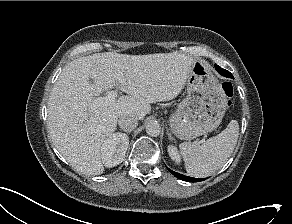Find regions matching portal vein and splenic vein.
<instances>
[{
	"instance_id": "portal-vein-and-splenic-vein-1",
	"label": "portal vein and splenic vein",
	"mask_w": 292,
	"mask_h": 224,
	"mask_svg": "<svg viewBox=\"0 0 292 224\" xmlns=\"http://www.w3.org/2000/svg\"><path fill=\"white\" fill-rule=\"evenodd\" d=\"M117 77H118V80L120 81V83H124L125 80H124V77H123V74L121 72H119L117 74ZM118 95V92L117 91H109L106 96L104 97H99L97 99H95L91 105V107H96L97 105H100L102 103H112V102H115L116 101V97Z\"/></svg>"
}]
</instances>
